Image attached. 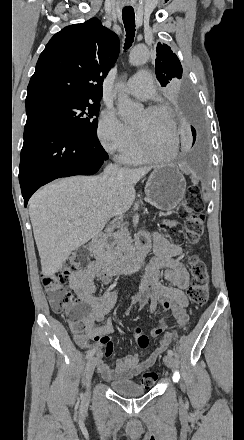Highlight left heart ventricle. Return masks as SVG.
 I'll list each match as a JSON object with an SVG mask.
<instances>
[{"mask_svg":"<svg viewBox=\"0 0 244 440\" xmlns=\"http://www.w3.org/2000/svg\"><path fill=\"white\" fill-rule=\"evenodd\" d=\"M170 124L168 111L143 110L134 126L144 133V142L148 146H157L159 143L168 148L167 128Z\"/></svg>","mask_w":244,"mask_h":440,"instance_id":"left-heart-ventricle-1","label":"left heart ventricle"}]
</instances>
